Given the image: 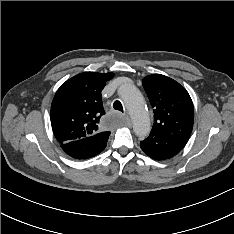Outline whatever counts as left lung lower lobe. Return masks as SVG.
I'll use <instances>...</instances> for the list:
<instances>
[{
    "label": "left lung lower lobe",
    "instance_id": "obj_1",
    "mask_svg": "<svg viewBox=\"0 0 234 234\" xmlns=\"http://www.w3.org/2000/svg\"><path fill=\"white\" fill-rule=\"evenodd\" d=\"M141 149L145 154L155 160H166L178 154L183 146L171 140L149 135L140 142Z\"/></svg>",
    "mask_w": 234,
    "mask_h": 234
}]
</instances>
